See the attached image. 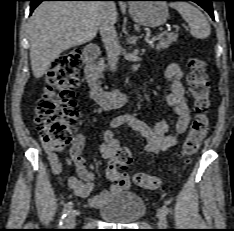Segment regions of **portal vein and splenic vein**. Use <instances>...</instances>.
I'll return each instance as SVG.
<instances>
[{"label": "portal vein and splenic vein", "instance_id": "obj_1", "mask_svg": "<svg viewBox=\"0 0 234 231\" xmlns=\"http://www.w3.org/2000/svg\"><path fill=\"white\" fill-rule=\"evenodd\" d=\"M167 32H163V33H160L154 37H152L151 39H147V41L152 44L154 43L155 41L159 40L164 34H166Z\"/></svg>", "mask_w": 234, "mask_h": 231}]
</instances>
